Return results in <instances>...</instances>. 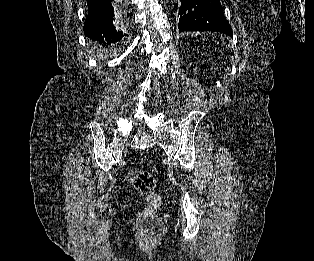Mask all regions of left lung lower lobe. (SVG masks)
Instances as JSON below:
<instances>
[{"label": "left lung lower lobe", "instance_id": "obj_1", "mask_svg": "<svg viewBox=\"0 0 314 261\" xmlns=\"http://www.w3.org/2000/svg\"><path fill=\"white\" fill-rule=\"evenodd\" d=\"M184 31H216L232 36L220 0H182L179 32Z\"/></svg>", "mask_w": 314, "mask_h": 261}]
</instances>
